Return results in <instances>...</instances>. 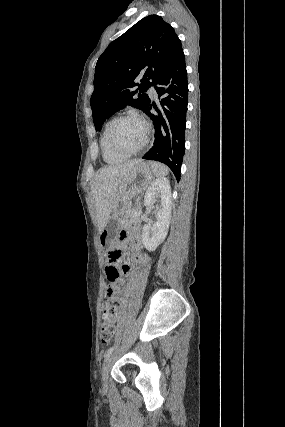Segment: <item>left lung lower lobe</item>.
<instances>
[{"mask_svg":"<svg viewBox=\"0 0 285 427\" xmlns=\"http://www.w3.org/2000/svg\"><path fill=\"white\" fill-rule=\"evenodd\" d=\"M155 85L161 106L149 103L145 113L155 127L153 147L142 157L166 164L180 180V169L185 152L186 112L188 104V81L183 50L169 70ZM152 106L157 115L151 113Z\"/></svg>","mask_w":285,"mask_h":427,"instance_id":"0a47b994","label":"left lung lower lobe"}]
</instances>
